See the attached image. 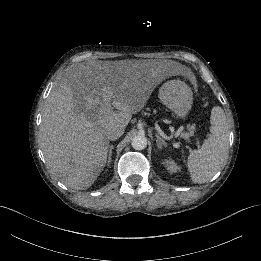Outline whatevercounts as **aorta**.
Wrapping results in <instances>:
<instances>
[{"instance_id": "1", "label": "aorta", "mask_w": 261, "mask_h": 261, "mask_svg": "<svg viewBox=\"0 0 261 261\" xmlns=\"http://www.w3.org/2000/svg\"><path fill=\"white\" fill-rule=\"evenodd\" d=\"M131 145L135 150H143L147 146V139L143 135H136L132 138Z\"/></svg>"}]
</instances>
